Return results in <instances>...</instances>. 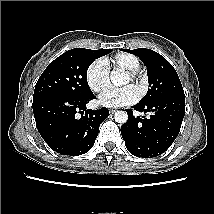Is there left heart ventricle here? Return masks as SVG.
<instances>
[{"mask_svg":"<svg viewBox=\"0 0 214 214\" xmlns=\"http://www.w3.org/2000/svg\"><path fill=\"white\" fill-rule=\"evenodd\" d=\"M130 83V80L128 78V76H125L123 82H122V85H128Z\"/></svg>","mask_w":214,"mask_h":214,"instance_id":"b2bd125f","label":"left heart ventricle"}]
</instances>
